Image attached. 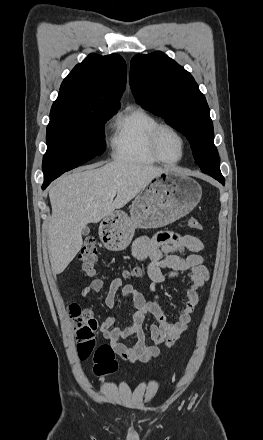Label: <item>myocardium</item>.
<instances>
[{
	"instance_id": "1",
	"label": "myocardium",
	"mask_w": 263,
	"mask_h": 440,
	"mask_svg": "<svg viewBox=\"0 0 263 440\" xmlns=\"http://www.w3.org/2000/svg\"><path fill=\"white\" fill-rule=\"evenodd\" d=\"M163 130H169V131L173 132L181 141L182 151H181L180 157L177 160L168 161V160L164 159L158 150V138H159L160 133ZM149 149H150V152L152 153V155L155 157V159L158 162L166 164V165H174V164L181 162L183 160V158L185 157L186 150H187V141H186V138L184 137V135L173 125L167 124V123H159L152 129V131L150 133Z\"/></svg>"
}]
</instances>
